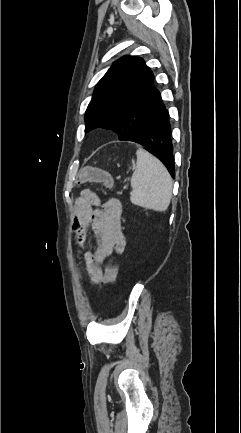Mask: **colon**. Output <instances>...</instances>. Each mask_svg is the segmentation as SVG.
Wrapping results in <instances>:
<instances>
[{
    "label": "colon",
    "instance_id": "colon-1",
    "mask_svg": "<svg viewBox=\"0 0 241 433\" xmlns=\"http://www.w3.org/2000/svg\"><path fill=\"white\" fill-rule=\"evenodd\" d=\"M90 177L95 181L104 182L109 184L111 177L106 170L95 169V168H81L80 172L76 174V179L81 181L83 184L90 182ZM117 276V266L114 263L109 264L103 275H94L91 280L95 284H100L107 288H110Z\"/></svg>",
    "mask_w": 241,
    "mask_h": 433
}]
</instances>
